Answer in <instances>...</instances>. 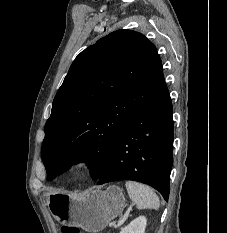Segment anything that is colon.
Masks as SVG:
<instances>
[{"instance_id":"obj_1","label":"colon","mask_w":227,"mask_h":233,"mask_svg":"<svg viewBox=\"0 0 227 233\" xmlns=\"http://www.w3.org/2000/svg\"><path fill=\"white\" fill-rule=\"evenodd\" d=\"M61 232L62 233H85L83 230L75 226H65L62 228Z\"/></svg>"}]
</instances>
